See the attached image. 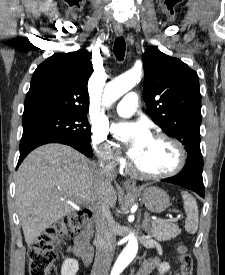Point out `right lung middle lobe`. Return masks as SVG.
<instances>
[{"label": "right lung middle lobe", "instance_id": "dd1d6c3e", "mask_svg": "<svg viewBox=\"0 0 225 275\" xmlns=\"http://www.w3.org/2000/svg\"><path fill=\"white\" fill-rule=\"evenodd\" d=\"M23 135L45 134L90 143L91 127L86 112H41L23 116Z\"/></svg>", "mask_w": 225, "mask_h": 275}]
</instances>
